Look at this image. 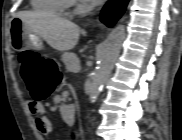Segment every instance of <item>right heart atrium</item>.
Returning a JSON list of instances; mask_svg holds the SVG:
<instances>
[{"label":"right heart atrium","instance_id":"obj_1","mask_svg":"<svg viewBox=\"0 0 182 140\" xmlns=\"http://www.w3.org/2000/svg\"><path fill=\"white\" fill-rule=\"evenodd\" d=\"M85 10L86 9L84 7H80V6L77 7L78 12H84Z\"/></svg>","mask_w":182,"mask_h":140}]
</instances>
